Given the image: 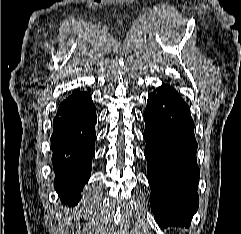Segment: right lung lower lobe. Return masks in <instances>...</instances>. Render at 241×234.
<instances>
[{"label": "right lung lower lobe", "mask_w": 241, "mask_h": 234, "mask_svg": "<svg viewBox=\"0 0 241 234\" xmlns=\"http://www.w3.org/2000/svg\"><path fill=\"white\" fill-rule=\"evenodd\" d=\"M96 122V108L87 92H75L65 99L53 120L54 188L72 205L79 202L91 175Z\"/></svg>", "instance_id": "right-lung-lower-lobe-1"}]
</instances>
